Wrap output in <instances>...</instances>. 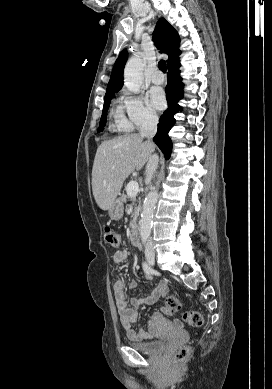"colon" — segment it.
Wrapping results in <instances>:
<instances>
[{
    "instance_id": "colon-1",
    "label": "colon",
    "mask_w": 272,
    "mask_h": 389,
    "mask_svg": "<svg viewBox=\"0 0 272 389\" xmlns=\"http://www.w3.org/2000/svg\"><path fill=\"white\" fill-rule=\"evenodd\" d=\"M104 238L106 242L112 247H118L120 245V236L110 227H106L104 230ZM182 310V305L177 297L169 296L165 300V312L167 314H174ZM183 320L190 326L200 327L203 324V317L201 313L197 311H184ZM190 353V348L184 346L173 354V360L175 363L184 362Z\"/></svg>"
}]
</instances>
